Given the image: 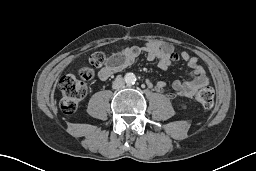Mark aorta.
<instances>
[{
	"label": "aorta",
	"mask_w": 256,
	"mask_h": 171,
	"mask_svg": "<svg viewBox=\"0 0 256 171\" xmlns=\"http://www.w3.org/2000/svg\"><path fill=\"white\" fill-rule=\"evenodd\" d=\"M124 80H125L126 84H129V85L135 84L136 76L134 73H126Z\"/></svg>",
	"instance_id": "762f6f07"
}]
</instances>
